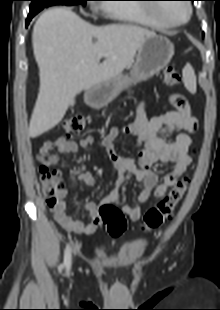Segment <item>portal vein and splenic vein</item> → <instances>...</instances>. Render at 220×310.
<instances>
[{
    "label": "portal vein and splenic vein",
    "mask_w": 220,
    "mask_h": 310,
    "mask_svg": "<svg viewBox=\"0 0 220 310\" xmlns=\"http://www.w3.org/2000/svg\"><path fill=\"white\" fill-rule=\"evenodd\" d=\"M104 56V54L103 53H100L99 55H98V57H103Z\"/></svg>",
    "instance_id": "obj_1"
}]
</instances>
